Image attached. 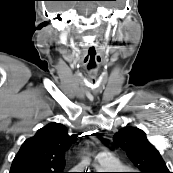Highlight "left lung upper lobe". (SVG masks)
<instances>
[{
    "label": "left lung upper lobe",
    "instance_id": "obj_1",
    "mask_svg": "<svg viewBox=\"0 0 173 173\" xmlns=\"http://www.w3.org/2000/svg\"><path fill=\"white\" fill-rule=\"evenodd\" d=\"M113 139L126 151L140 173H170L159 151L147 140L144 131L124 128L115 133Z\"/></svg>",
    "mask_w": 173,
    "mask_h": 173
}]
</instances>
